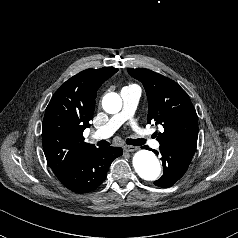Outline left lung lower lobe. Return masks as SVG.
<instances>
[{"mask_svg": "<svg viewBox=\"0 0 238 238\" xmlns=\"http://www.w3.org/2000/svg\"><path fill=\"white\" fill-rule=\"evenodd\" d=\"M156 154L157 151L153 150ZM161 160L163 163V175L154 184L159 187L168 188L175 184L187 171L193 158L194 152L160 146Z\"/></svg>", "mask_w": 238, "mask_h": 238, "instance_id": "0a47b994", "label": "left lung lower lobe"}]
</instances>
